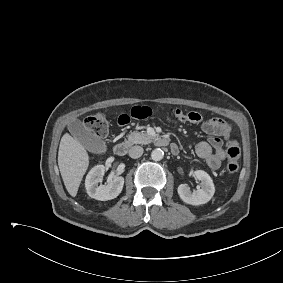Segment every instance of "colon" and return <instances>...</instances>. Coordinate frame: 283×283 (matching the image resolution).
Segmentation results:
<instances>
[{
  "label": "colon",
  "mask_w": 283,
  "mask_h": 283,
  "mask_svg": "<svg viewBox=\"0 0 283 283\" xmlns=\"http://www.w3.org/2000/svg\"><path fill=\"white\" fill-rule=\"evenodd\" d=\"M85 125L89 130L101 138L105 137L109 131V122L106 116L102 113L88 116L85 120ZM240 154L241 150L237 141H228L226 144V155L227 171L229 173H235L238 170Z\"/></svg>",
  "instance_id": "colon-1"
}]
</instances>
